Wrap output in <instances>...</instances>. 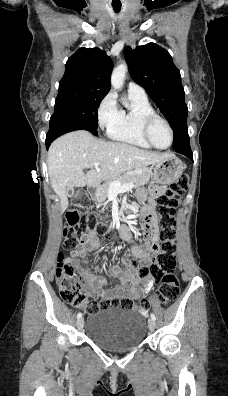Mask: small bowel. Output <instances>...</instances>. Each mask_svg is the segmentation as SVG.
<instances>
[{"instance_id": "obj_1", "label": "small bowel", "mask_w": 228, "mask_h": 396, "mask_svg": "<svg viewBox=\"0 0 228 396\" xmlns=\"http://www.w3.org/2000/svg\"><path fill=\"white\" fill-rule=\"evenodd\" d=\"M164 188V186L155 187L152 191L153 198L142 210L143 214L151 218V227L147 231V235L154 243L158 241V227L154 215V198L162 194ZM121 236L130 243L131 252L134 257L145 265H149L153 262L155 255L158 253V248L144 249L133 244L129 230L125 226L121 228ZM98 247V232L94 229L88 230L85 234V240L76 246L74 250H71L63 261L76 268L80 275L83 288L90 296L101 297L104 300L118 299L121 297H130L134 300L138 299L143 292V289L139 286L140 279L137 273L131 269L127 263H125V265L128 266L127 272H124L119 265H115L109 269L110 274L118 280V285L113 289L107 288V280L104 277L98 276L81 266V258H84L88 252L96 250ZM141 283L144 285V290L148 291L154 283V277L149 276L146 279H142Z\"/></svg>"}]
</instances>
